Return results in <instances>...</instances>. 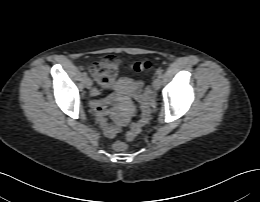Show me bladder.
I'll list each match as a JSON object with an SVG mask.
<instances>
[{"label": "bladder", "instance_id": "obj_1", "mask_svg": "<svg viewBox=\"0 0 260 202\" xmlns=\"http://www.w3.org/2000/svg\"><path fill=\"white\" fill-rule=\"evenodd\" d=\"M133 87V80L128 77H121L115 83L116 94L123 101H127L130 99Z\"/></svg>", "mask_w": 260, "mask_h": 202}]
</instances>
